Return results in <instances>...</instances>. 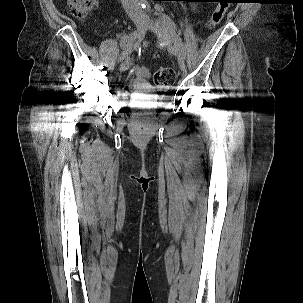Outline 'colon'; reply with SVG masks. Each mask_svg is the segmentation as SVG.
<instances>
[{
    "label": "colon",
    "instance_id": "1",
    "mask_svg": "<svg viewBox=\"0 0 303 303\" xmlns=\"http://www.w3.org/2000/svg\"><path fill=\"white\" fill-rule=\"evenodd\" d=\"M97 4V0H68L70 11L79 16L84 17L92 11ZM227 0H219L214 8L208 21L209 27L217 26L223 19L227 9ZM175 82L174 71L168 67H161L153 74V83L160 88H167Z\"/></svg>",
    "mask_w": 303,
    "mask_h": 303
}]
</instances>
